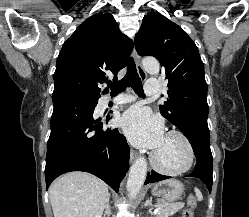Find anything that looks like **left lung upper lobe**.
<instances>
[{"label":"left lung upper lobe","instance_id":"1","mask_svg":"<svg viewBox=\"0 0 249 217\" xmlns=\"http://www.w3.org/2000/svg\"><path fill=\"white\" fill-rule=\"evenodd\" d=\"M141 56H154L163 66L169 99L161 114L182 132L194 120L208 117L207 83L198 48L186 32L159 13L144 16L135 36Z\"/></svg>","mask_w":249,"mask_h":217}]
</instances>
